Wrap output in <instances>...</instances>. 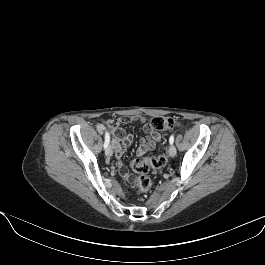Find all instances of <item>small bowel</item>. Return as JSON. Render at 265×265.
Returning a JSON list of instances; mask_svg holds the SVG:
<instances>
[{
  "instance_id": "obj_1",
  "label": "small bowel",
  "mask_w": 265,
  "mask_h": 265,
  "mask_svg": "<svg viewBox=\"0 0 265 265\" xmlns=\"http://www.w3.org/2000/svg\"><path fill=\"white\" fill-rule=\"evenodd\" d=\"M141 120L143 117H129L125 116L118 120H110L108 122V127L111 129L114 140L113 145L115 148L116 162L119 169L121 177L125 180H129V172L124 165L123 157L127 147L132 143L133 136L127 133L122 127V124H128L134 121ZM105 129L104 125H99L98 130L102 132ZM145 136L141 139L140 145L137 148V155L143 156L147 152L152 151L157 142L161 139V136L158 132L152 130L148 125L144 126Z\"/></svg>"
}]
</instances>
